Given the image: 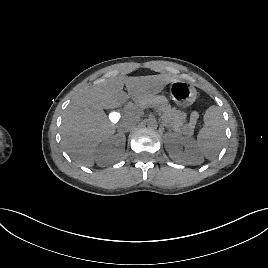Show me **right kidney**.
Here are the masks:
<instances>
[{"label": "right kidney", "mask_w": 268, "mask_h": 268, "mask_svg": "<svg viewBox=\"0 0 268 268\" xmlns=\"http://www.w3.org/2000/svg\"><path fill=\"white\" fill-rule=\"evenodd\" d=\"M125 142L123 134H116L104 140L95 152L97 165L105 167L120 160L125 150Z\"/></svg>", "instance_id": "right-kidney-1"}]
</instances>
